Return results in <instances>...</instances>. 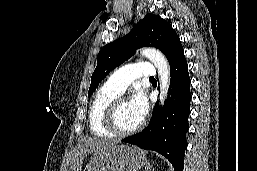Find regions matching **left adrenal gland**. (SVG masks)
Returning <instances> with one entry per match:
<instances>
[{
	"label": "left adrenal gland",
	"mask_w": 257,
	"mask_h": 171,
	"mask_svg": "<svg viewBox=\"0 0 257 171\" xmlns=\"http://www.w3.org/2000/svg\"><path fill=\"white\" fill-rule=\"evenodd\" d=\"M152 167V165H150V164H147L146 166H145V170L144 171H148V170H150V168Z\"/></svg>",
	"instance_id": "obj_1"
}]
</instances>
